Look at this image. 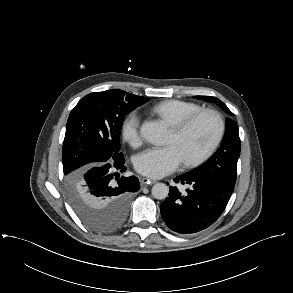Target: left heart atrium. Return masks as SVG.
<instances>
[{"instance_id":"1","label":"left heart atrium","mask_w":293,"mask_h":293,"mask_svg":"<svg viewBox=\"0 0 293 293\" xmlns=\"http://www.w3.org/2000/svg\"><path fill=\"white\" fill-rule=\"evenodd\" d=\"M183 158L173 144L150 147L139 153L134 161L136 170L146 176L161 178L175 171Z\"/></svg>"}]
</instances>
